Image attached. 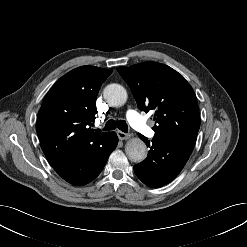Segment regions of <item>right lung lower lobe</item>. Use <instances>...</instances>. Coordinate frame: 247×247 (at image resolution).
I'll return each instance as SVG.
<instances>
[{
	"mask_svg": "<svg viewBox=\"0 0 247 247\" xmlns=\"http://www.w3.org/2000/svg\"><path fill=\"white\" fill-rule=\"evenodd\" d=\"M117 143L118 137L112 132L99 144L66 158L53 168L67 182L85 185L100 174Z\"/></svg>",
	"mask_w": 247,
	"mask_h": 247,
	"instance_id": "right-lung-lower-lobe-1",
	"label": "right lung lower lobe"
}]
</instances>
